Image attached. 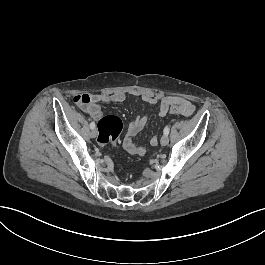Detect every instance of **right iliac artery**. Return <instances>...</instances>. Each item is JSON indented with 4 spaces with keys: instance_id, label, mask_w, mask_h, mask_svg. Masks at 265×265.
<instances>
[{
    "instance_id": "82829eb1",
    "label": "right iliac artery",
    "mask_w": 265,
    "mask_h": 265,
    "mask_svg": "<svg viewBox=\"0 0 265 265\" xmlns=\"http://www.w3.org/2000/svg\"><path fill=\"white\" fill-rule=\"evenodd\" d=\"M90 128H91V129H94V128H95V123H94V122H91V123H90Z\"/></svg>"
}]
</instances>
